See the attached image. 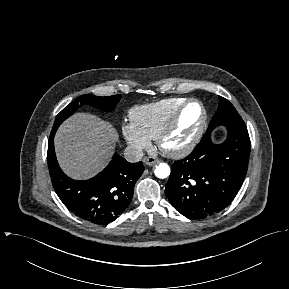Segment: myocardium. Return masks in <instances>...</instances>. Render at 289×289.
Masks as SVG:
<instances>
[{"label": "myocardium", "mask_w": 289, "mask_h": 289, "mask_svg": "<svg viewBox=\"0 0 289 289\" xmlns=\"http://www.w3.org/2000/svg\"><path fill=\"white\" fill-rule=\"evenodd\" d=\"M191 103L198 104L199 107L201 108V111H202V120H201V123L199 125V128L196 131L195 135L186 144H184L180 147H174V148L169 147L167 145V141H168L169 137L174 133L176 128L178 127L184 110ZM207 122H208V112H207L204 104L196 98L186 99L178 107V109L176 110V112L174 113V115L172 116L170 121L168 122V124L165 126V128L162 130V132L158 136L157 143H158L160 150L164 154H166L170 157H173V158H181V157L188 155L189 153H191L195 149V147L201 141V139L205 133V130H206Z\"/></svg>", "instance_id": "myocardium-1"}]
</instances>
